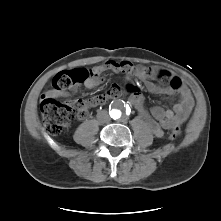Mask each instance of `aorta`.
I'll return each mask as SVG.
<instances>
[{
  "instance_id": "762f6f07",
  "label": "aorta",
  "mask_w": 221,
  "mask_h": 221,
  "mask_svg": "<svg viewBox=\"0 0 221 221\" xmlns=\"http://www.w3.org/2000/svg\"><path fill=\"white\" fill-rule=\"evenodd\" d=\"M111 114L114 119H119L122 114V109H112Z\"/></svg>"
}]
</instances>
